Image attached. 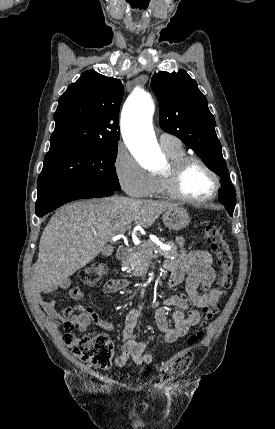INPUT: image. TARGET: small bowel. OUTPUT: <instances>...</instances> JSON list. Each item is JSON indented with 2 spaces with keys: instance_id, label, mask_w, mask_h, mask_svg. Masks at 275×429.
Instances as JSON below:
<instances>
[{
  "instance_id": "c3829d8e",
  "label": "small bowel",
  "mask_w": 275,
  "mask_h": 429,
  "mask_svg": "<svg viewBox=\"0 0 275 429\" xmlns=\"http://www.w3.org/2000/svg\"><path fill=\"white\" fill-rule=\"evenodd\" d=\"M178 244L182 247L183 240L178 239ZM165 267L170 273L169 288L185 281L188 298L170 295L162 301L161 306L157 303L150 306L155 308V322L163 333L165 342L174 343L199 322L201 309L213 305L219 300L222 289L219 284L220 273L213 268L212 256L206 251L186 252L182 250L179 258L166 261ZM126 286L125 280L111 279L104 285V292L114 294ZM58 287L68 289L70 296L74 299H83L85 296L77 286L67 282L59 284ZM53 289L54 287H45L40 292H50ZM37 301L48 315L69 323L73 327L76 326L81 332L85 331L90 324H95L105 330H113V326L102 320L90 306L78 304L58 310L54 301L44 299L40 294L37 295ZM191 305L195 308H190ZM164 306L176 308L171 316L172 325L166 318ZM143 307L144 304L131 310L126 317L122 332L121 354L115 360L118 367L128 365L130 360L137 365L151 362V355L146 351L147 345L138 340L136 330Z\"/></svg>"
}]
</instances>
